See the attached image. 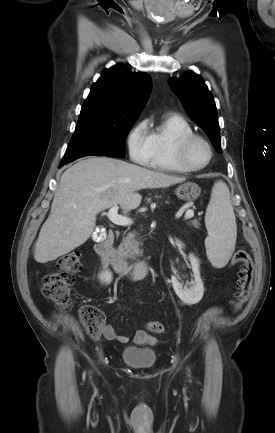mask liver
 Returning a JSON list of instances; mask_svg holds the SVG:
<instances>
[{
	"label": "liver",
	"mask_w": 275,
	"mask_h": 433,
	"mask_svg": "<svg viewBox=\"0 0 275 433\" xmlns=\"http://www.w3.org/2000/svg\"><path fill=\"white\" fill-rule=\"evenodd\" d=\"M185 180L109 157L75 163L61 176L34 259L39 263L54 261L84 244L95 228L98 213L115 205L124 213L136 209L142 200L139 190L166 188Z\"/></svg>",
	"instance_id": "obj_1"
}]
</instances>
